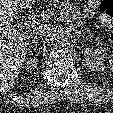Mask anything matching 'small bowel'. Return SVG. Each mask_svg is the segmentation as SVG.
<instances>
[{"mask_svg": "<svg viewBox=\"0 0 113 113\" xmlns=\"http://www.w3.org/2000/svg\"><path fill=\"white\" fill-rule=\"evenodd\" d=\"M95 0L89 1L85 7H84V17L85 18H90L93 16L94 11H95Z\"/></svg>", "mask_w": 113, "mask_h": 113, "instance_id": "small-bowel-1", "label": "small bowel"}]
</instances>
